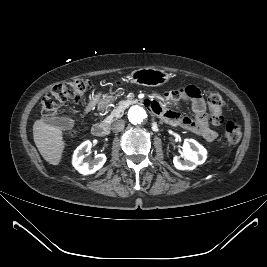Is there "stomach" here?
<instances>
[{
	"label": "stomach",
	"mask_w": 267,
	"mask_h": 267,
	"mask_svg": "<svg viewBox=\"0 0 267 267\" xmlns=\"http://www.w3.org/2000/svg\"><path fill=\"white\" fill-rule=\"evenodd\" d=\"M171 74L158 69L140 68L131 72L130 80L132 83L144 86H160L171 78ZM113 96L104 94L98 102L99 108L106 106Z\"/></svg>",
	"instance_id": "stomach-1"
}]
</instances>
